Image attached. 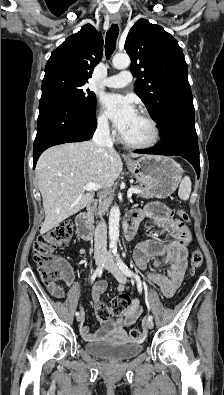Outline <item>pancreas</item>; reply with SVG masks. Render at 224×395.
Here are the masks:
<instances>
[{
  "label": "pancreas",
  "mask_w": 224,
  "mask_h": 395,
  "mask_svg": "<svg viewBox=\"0 0 224 395\" xmlns=\"http://www.w3.org/2000/svg\"><path fill=\"white\" fill-rule=\"evenodd\" d=\"M132 188L140 190L138 197H142V198H146V199L152 197L148 191H146L144 188H142L140 186H132ZM110 204H111V201L109 199H105L102 202L101 206L96 211V215L102 216L103 214H105V212L108 210Z\"/></svg>",
  "instance_id": "obj_1"
}]
</instances>
